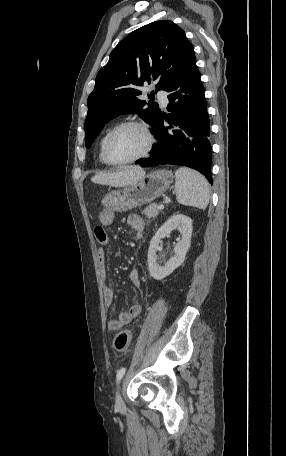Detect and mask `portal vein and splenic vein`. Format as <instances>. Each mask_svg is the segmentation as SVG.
Here are the masks:
<instances>
[{
	"mask_svg": "<svg viewBox=\"0 0 286 456\" xmlns=\"http://www.w3.org/2000/svg\"><path fill=\"white\" fill-rule=\"evenodd\" d=\"M157 208H158V209H163V208H164V205H163V204H159Z\"/></svg>",
	"mask_w": 286,
	"mask_h": 456,
	"instance_id": "obj_1",
	"label": "portal vein and splenic vein"
}]
</instances>
